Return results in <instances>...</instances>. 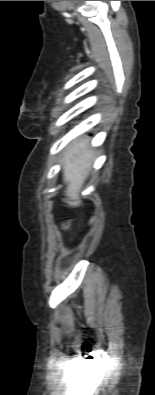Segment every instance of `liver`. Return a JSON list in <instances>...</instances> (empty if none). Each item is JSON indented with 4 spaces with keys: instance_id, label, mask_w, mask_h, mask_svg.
Returning a JSON list of instances; mask_svg holds the SVG:
<instances>
[{
    "instance_id": "liver-1",
    "label": "liver",
    "mask_w": 155,
    "mask_h": 395,
    "mask_svg": "<svg viewBox=\"0 0 155 395\" xmlns=\"http://www.w3.org/2000/svg\"><path fill=\"white\" fill-rule=\"evenodd\" d=\"M88 143L87 138H78L64 152L63 179L66 184L65 196L70 206L81 204L79 194L96 158V152L89 148Z\"/></svg>"
}]
</instances>
